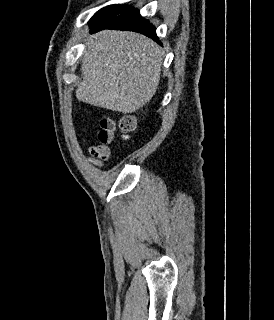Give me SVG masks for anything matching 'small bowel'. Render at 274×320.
<instances>
[{
	"label": "small bowel",
	"instance_id": "1",
	"mask_svg": "<svg viewBox=\"0 0 274 320\" xmlns=\"http://www.w3.org/2000/svg\"><path fill=\"white\" fill-rule=\"evenodd\" d=\"M109 148L106 146H91L88 147V152L91 154V157H89L87 160L96 167H102L103 163H112L113 157L109 156ZM92 153L93 156H92ZM97 159H100L97 160Z\"/></svg>",
	"mask_w": 274,
	"mask_h": 320
}]
</instances>
